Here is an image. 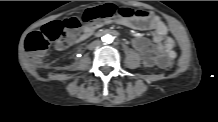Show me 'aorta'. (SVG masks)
I'll use <instances>...</instances> for the list:
<instances>
[{
  "label": "aorta",
  "instance_id": "762f6f07",
  "mask_svg": "<svg viewBox=\"0 0 218 122\" xmlns=\"http://www.w3.org/2000/svg\"><path fill=\"white\" fill-rule=\"evenodd\" d=\"M101 41L104 45L110 44L113 41V37L111 35H104L103 37H101Z\"/></svg>",
  "mask_w": 218,
  "mask_h": 122
}]
</instances>
